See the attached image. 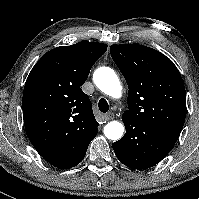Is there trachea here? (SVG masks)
Here are the masks:
<instances>
[{
    "instance_id": "3493384b",
    "label": "trachea",
    "mask_w": 199,
    "mask_h": 199,
    "mask_svg": "<svg viewBox=\"0 0 199 199\" xmlns=\"http://www.w3.org/2000/svg\"><path fill=\"white\" fill-rule=\"evenodd\" d=\"M98 107H99V110L103 113H106L109 110L108 102L104 98H101L99 100Z\"/></svg>"
}]
</instances>
